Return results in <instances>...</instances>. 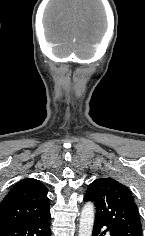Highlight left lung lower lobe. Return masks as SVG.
Returning <instances> with one entry per match:
<instances>
[{"mask_svg":"<svg viewBox=\"0 0 145 236\" xmlns=\"http://www.w3.org/2000/svg\"><path fill=\"white\" fill-rule=\"evenodd\" d=\"M105 224L98 220V219H95V223H94V227H93V234L92 236H103V234L106 233V231H109L110 232V235L111 236H115V234L113 232L110 231V229L107 227V230L106 231H103L101 233V228L104 226Z\"/></svg>","mask_w":145,"mask_h":236,"instance_id":"obj_1","label":"left lung lower lobe"}]
</instances>
